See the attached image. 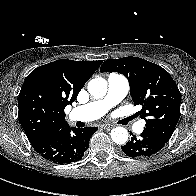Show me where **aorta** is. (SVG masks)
<instances>
[{
    "mask_svg": "<svg viewBox=\"0 0 196 196\" xmlns=\"http://www.w3.org/2000/svg\"><path fill=\"white\" fill-rule=\"evenodd\" d=\"M88 92L96 99L103 98L107 92V82L98 77L88 83ZM111 138L116 144H125L128 141V131L124 127H116L111 130Z\"/></svg>",
    "mask_w": 196,
    "mask_h": 196,
    "instance_id": "obj_1",
    "label": "aorta"
}]
</instances>
